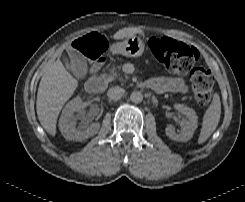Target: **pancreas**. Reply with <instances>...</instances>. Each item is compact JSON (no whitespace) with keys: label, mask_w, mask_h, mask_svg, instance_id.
Here are the masks:
<instances>
[{"label":"pancreas","mask_w":245,"mask_h":202,"mask_svg":"<svg viewBox=\"0 0 245 202\" xmlns=\"http://www.w3.org/2000/svg\"><path fill=\"white\" fill-rule=\"evenodd\" d=\"M118 69H120V67H118ZM115 79L122 80V77H121L120 73L117 72V69L115 67H112L110 69V74L107 76L105 81L108 83V82L114 81Z\"/></svg>","instance_id":"pancreas-1"}]
</instances>
